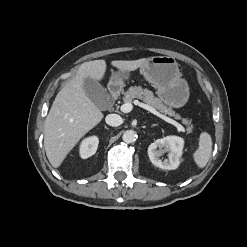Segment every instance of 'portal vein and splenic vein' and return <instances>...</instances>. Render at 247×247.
I'll list each match as a JSON object with an SVG mask.
<instances>
[{
  "label": "portal vein and splenic vein",
  "instance_id": "18ae733b",
  "mask_svg": "<svg viewBox=\"0 0 247 247\" xmlns=\"http://www.w3.org/2000/svg\"><path fill=\"white\" fill-rule=\"evenodd\" d=\"M134 104L138 105L139 107H141V108H143V109H145L147 111H149L150 113L156 115L157 117L163 119L164 121L174 125L179 131L185 132V129L181 124H179L175 120L167 117L166 115L160 113L159 111L155 110L153 107H151V106H149V105H147L145 103L139 102L138 100H134ZM132 109H133V106H132L131 103H125V104L121 105V107H120V110L123 113H128Z\"/></svg>",
  "mask_w": 247,
  "mask_h": 247
}]
</instances>
